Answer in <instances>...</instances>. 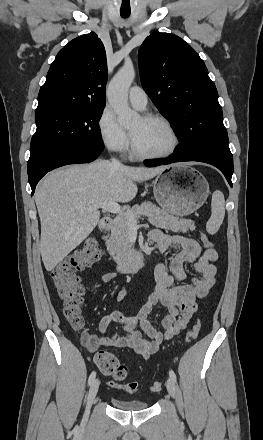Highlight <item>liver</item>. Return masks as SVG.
I'll return each mask as SVG.
<instances>
[{"mask_svg": "<svg viewBox=\"0 0 263 440\" xmlns=\"http://www.w3.org/2000/svg\"><path fill=\"white\" fill-rule=\"evenodd\" d=\"M167 168L114 166L100 160L48 174L35 191L41 222L40 252L46 270L52 271L99 223V208L88 207L130 202L138 191L135 182L152 179Z\"/></svg>", "mask_w": 263, "mask_h": 440, "instance_id": "6515ba94", "label": "liver"}]
</instances>
